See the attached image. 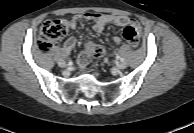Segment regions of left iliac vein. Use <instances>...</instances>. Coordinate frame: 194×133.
<instances>
[{
  "label": "left iliac vein",
  "instance_id": "4c4485c4",
  "mask_svg": "<svg viewBox=\"0 0 194 133\" xmlns=\"http://www.w3.org/2000/svg\"><path fill=\"white\" fill-rule=\"evenodd\" d=\"M127 67V63L125 61H121L116 65V68L119 70L125 69Z\"/></svg>",
  "mask_w": 194,
  "mask_h": 133
}]
</instances>
